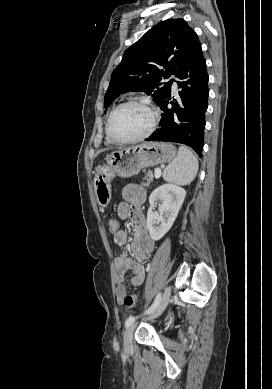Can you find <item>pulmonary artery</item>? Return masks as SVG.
<instances>
[{
    "mask_svg": "<svg viewBox=\"0 0 272 389\" xmlns=\"http://www.w3.org/2000/svg\"><path fill=\"white\" fill-rule=\"evenodd\" d=\"M171 78H172V79H175L174 76H171ZM176 89H177V82L174 81V82H173V90H176Z\"/></svg>",
    "mask_w": 272,
    "mask_h": 389,
    "instance_id": "e3ab8cb5",
    "label": "pulmonary artery"
}]
</instances>
